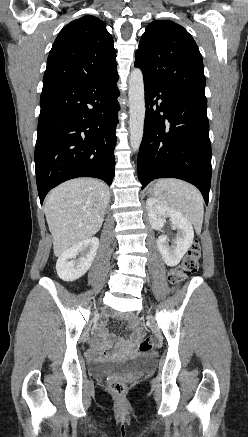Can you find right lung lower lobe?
Segmentation results:
<instances>
[{
    "label": "right lung lower lobe",
    "mask_w": 248,
    "mask_h": 437,
    "mask_svg": "<svg viewBox=\"0 0 248 437\" xmlns=\"http://www.w3.org/2000/svg\"><path fill=\"white\" fill-rule=\"evenodd\" d=\"M117 70L86 82L43 85L35 147L41 204L60 183L114 178L119 90Z\"/></svg>",
    "instance_id": "right-lung-lower-lobe-1"
}]
</instances>
